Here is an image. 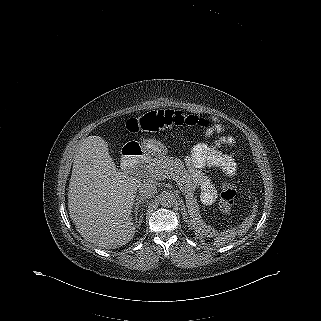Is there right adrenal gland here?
<instances>
[{
	"mask_svg": "<svg viewBox=\"0 0 321 321\" xmlns=\"http://www.w3.org/2000/svg\"><path fill=\"white\" fill-rule=\"evenodd\" d=\"M146 202V199L143 198V197H137L136 198V202L134 203V212H135V223H138L136 224L137 227H139L141 224H142V220H143V214H141L140 218L138 219V209H139V206L140 204H143Z\"/></svg>",
	"mask_w": 321,
	"mask_h": 321,
	"instance_id": "obj_1",
	"label": "right adrenal gland"
}]
</instances>
